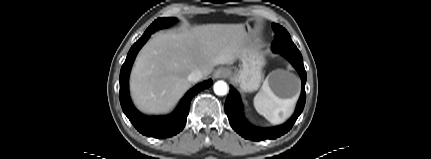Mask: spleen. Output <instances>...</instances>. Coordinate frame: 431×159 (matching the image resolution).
<instances>
[{"mask_svg":"<svg viewBox=\"0 0 431 159\" xmlns=\"http://www.w3.org/2000/svg\"><path fill=\"white\" fill-rule=\"evenodd\" d=\"M298 96L282 99L270 89L267 80L262 89L254 97L256 111L272 124H280L288 119L294 111Z\"/></svg>","mask_w":431,"mask_h":159,"instance_id":"obj_1","label":"spleen"}]
</instances>
